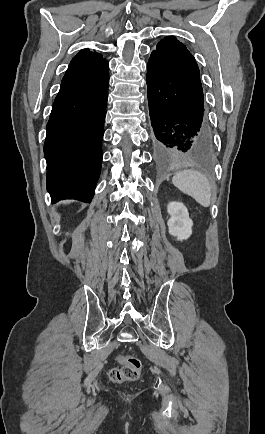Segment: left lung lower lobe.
Returning <instances> with one entry per match:
<instances>
[{"instance_id":"1","label":"left lung lower lobe","mask_w":265,"mask_h":434,"mask_svg":"<svg viewBox=\"0 0 265 434\" xmlns=\"http://www.w3.org/2000/svg\"><path fill=\"white\" fill-rule=\"evenodd\" d=\"M151 143L162 155L207 154L213 149L203 96L166 61L151 54L147 64Z\"/></svg>"}]
</instances>
